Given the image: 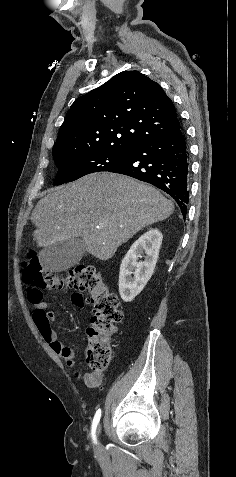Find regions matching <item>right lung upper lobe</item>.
I'll return each mask as SVG.
<instances>
[{"instance_id": "cb5924a9", "label": "right lung upper lobe", "mask_w": 236, "mask_h": 477, "mask_svg": "<svg viewBox=\"0 0 236 477\" xmlns=\"http://www.w3.org/2000/svg\"><path fill=\"white\" fill-rule=\"evenodd\" d=\"M179 120L161 86L123 71L76 100L53 147V157L89 150L125 153L172 131Z\"/></svg>"}]
</instances>
